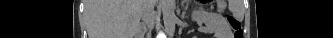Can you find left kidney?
<instances>
[{"mask_svg":"<svg viewBox=\"0 0 333 38\" xmlns=\"http://www.w3.org/2000/svg\"><path fill=\"white\" fill-rule=\"evenodd\" d=\"M191 19L198 23H204L206 31L209 34L214 33L215 38H228L231 33L225 18L221 14L207 12L203 8H199L193 10Z\"/></svg>","mask_w":333,"mask_h":38,"instance_id":"1","label":"left kidney"}]
</instances>
